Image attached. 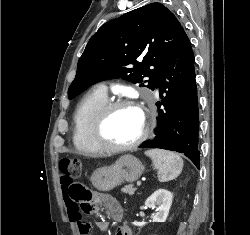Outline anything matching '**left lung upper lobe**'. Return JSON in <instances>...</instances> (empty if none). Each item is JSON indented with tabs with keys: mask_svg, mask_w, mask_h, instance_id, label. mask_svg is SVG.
<instances>
[{
	"mask_svg": "<svg viewBox=\"0 0 250 235\" xmlns=\"http://www.w3.org/2000/svg\"><path fill=\"white\" fill-rule=\"evenodd\" d=\"M181 30L175 15L161 3L145 5L106 22L90 38L78 61L68 98L112 78H124L154 90Z\"/></svg>",
	"mask_w": 250,
	"mask_h": 235,
	"instance_id": "1",
	"label": "left lung upper lobe"
}]
</instances>
